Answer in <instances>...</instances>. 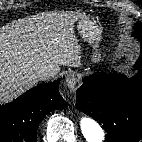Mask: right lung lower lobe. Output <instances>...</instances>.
I'll list each match as a JSON object with an SVG mask.
<instances>
[{"instance_id":"1","label":"right lung lower lobe","mask_w":142,"mask_h":142,"mask_svg":"<svg viewBox=\"0 0 142 142\" xmlns=\"http://www.w3.org/2000/svg\"><path fill=\"white\" fill-rule=\"evenodd\" d=\"M58 87L59 80L39 85L0 105V142H36L42 119L52 110L67 106Z\"/></svg>"}]
</instances>
